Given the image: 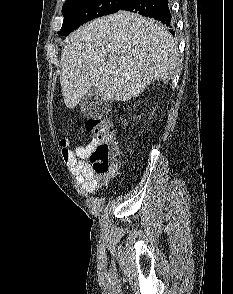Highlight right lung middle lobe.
Listing matches in <instances>:
<instances>
[{"label":"right lung middle lobe","mask_w":233,"mask_h":294,"mask_svg":"<svg viewBox=\"0 0 233 294\" xmlns=\"http://www.w3.org/2000/svg\"><path fill=\"white\" fill-rule=\"evenodd\" d=\"M126 0H66L62 7L64 21L59 35L67 36L94 18L116 13Z\"/></svg>","instance_id":"1"}]
</instances>
